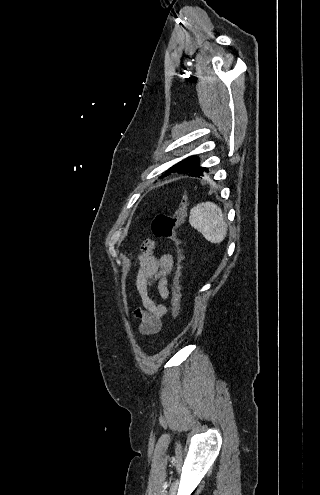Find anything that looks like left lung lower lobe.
<instances>
[{
    "mask_svg": "<svg viewBox=\"0 0 320 495\" xmlns=\"http://www.w3.org/2000/svg\"><path fill=\"white\" fill-rule=\"evenodd\" d=\"M204 172H208L207 168L200 167L198 164L197 166H195L194 168H192L191 170H189L184 174H187L188 176H192V177L202 178L204 176Z\"/></svg>",
    "mask_w": 320,
    "mask_h": 495,
    "instance_id": "obj_1",
    "label": "left lung lower lobe"
}]
</instances>
